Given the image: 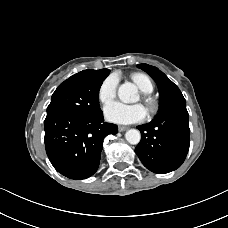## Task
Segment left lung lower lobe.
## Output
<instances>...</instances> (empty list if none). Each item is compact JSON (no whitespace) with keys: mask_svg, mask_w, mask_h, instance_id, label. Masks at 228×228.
I'll return each instance as SVG.
<instances>
[{"mask_svg":"<svg viewBox=\"0 0 228 228\" xmlns=\"http://www.w3.org/2000/svg\"><path fill=\"white\" fill-rule=\"evenodd\" d=\"M137 128L141 131V141L135 152L147 169L164 174L182 165L190 140L186 102L173 105L150 123Z\"/></svg>","mask_w":228,"mask_h":228,"instance_id":"0a47b994","label":"left lung lower lobe"}]
</instances>
